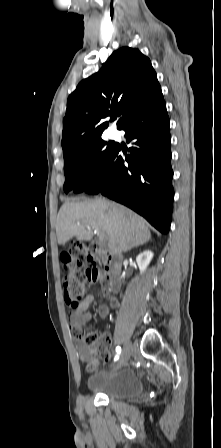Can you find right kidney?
<instances>
[{"label":"right kidney","instance_id":"right-kidney-1","mask_svg":"<svg viewBox=\"0 0 221 448\" xmlns=\"http://www.w3.org/2000/svg\"><path fill=\"white\" fill-rule=\"evenodd\" d=\"M153 258V252L145 250L136 257V263L141 273H143Z\"/></svg>","mask_w":221,"mask_h":448}]
</instances>
